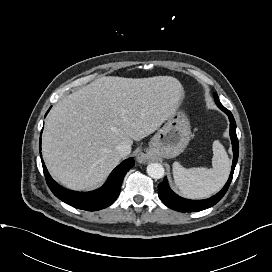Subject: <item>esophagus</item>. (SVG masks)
<instances>
[{"instance_id":"34e87169","label":"esophagus","mask_w":272,"mask_h":272,"mask_svg":"<svg viewBox=\"0 0 272 272\" xmlns=\"http://www.w3.org/2000/svg\"><path fill=\"white\" fill-rule=\"evenodd\" d=\"M137 160H138V162L143 163V162H145V156L142 153H138Z\"/></svg>"}]
</instances>
